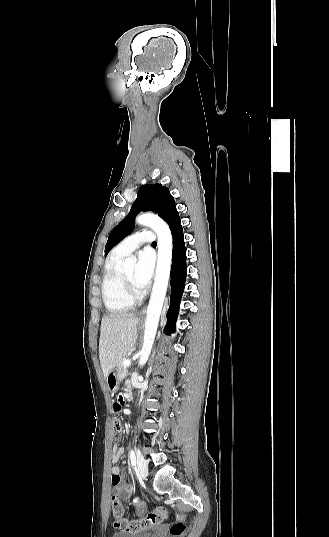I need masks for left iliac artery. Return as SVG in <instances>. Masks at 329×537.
Instances as JSON below:
<instances>
[{
    "instance_id": "obj_1",
    "label": "left iliac artery",
    "mask_w": 329,
    "mask_h": 537,
    "mask_svg": "<svg viewBox=\"0 0 329 537\" xmlns=\"http://www.w3.org/2000/svg\"><path fill=\"white\" fill-rule=\"evenodd\" d=\"M130 461H131L132 467L135 468L136 467V456H135V451L133 449L130 452Z\"/></svg>"
}]
</instances>
